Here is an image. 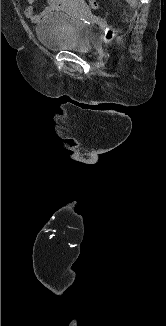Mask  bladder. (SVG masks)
I'll use <instances>...</instances> for the list:
<instances>
[{
	"label": "bladder",
	"instance_id": "obj_1",
	"mask_svg": "<svg viewBox=\"0 0 166 326\" xmlns=\"http://www.w3.org/2000/svg\"><path fill=\"white\" fill-rule=\"evenodd\" d=\"M80 9L86 10L85 5ZM40 44L52 51L88 53L91 49V31L82 20L64 12L52 11L36 24Z\"/></svg>",
	"mask_w": 166,
	"mask_h": 326
}]
</instances>
